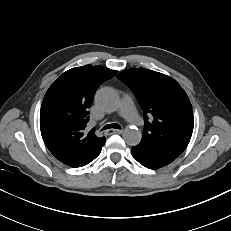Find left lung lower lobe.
Instances as JSON below:
<instances>
[{
    "instance_id": "obj_1",
    "label": "left lung lower lobe",
    "mask_w": 231,
    "mask_h": 231,
    "mask_svg": "<svg viewBox=\"0 0 231 231\" xmlns=\"http://www.w3.org/2000/svg\"><path fill=\"white\" fill-rule=\"evenodd\" d=\"M131 154L141 165L158 169L174 161L181 153L163 145L140 142L132 147Z\"/></svg>"
}]
</instances>
